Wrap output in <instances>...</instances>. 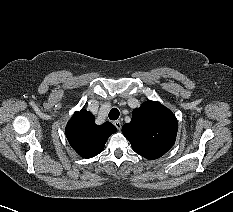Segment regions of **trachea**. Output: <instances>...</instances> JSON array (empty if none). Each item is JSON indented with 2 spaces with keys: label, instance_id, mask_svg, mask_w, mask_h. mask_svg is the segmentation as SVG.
Instances as JSON below:
<instances>
[{
  "label": "trachea",
  "instance_id": "obj_1",
  "mask_svg": "<svg viewBox=\"0 0 233 212\" xmlns=\"http://www.w3.org/2000/svg\"><path fill=\"white\" fill-rule=\"evenodd\" d=\"M120 113L119 110L117 108H113L111 109V111L109 112V119L110 120H117L119 117Z\"/></svg>",
  "mask_w": 233,
  "mask_h": 212
}]
</instances>
